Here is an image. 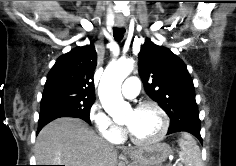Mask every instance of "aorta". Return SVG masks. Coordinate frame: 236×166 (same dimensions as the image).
Here are the masks:
<instances>
[{"mask_svg": "<svg viewBox=\"0 0 236 166\" xmlns=\"http://www.w3.org/2000/svg\"><path fill=\"white\" fill-rule=\"evenodd\" d=\"M134 61L131 59L120 60L109 65L99 84L98 95L104 110L116 118L131 109L124 101L121 94V84L132 72Z\"/></svg>", "mask_w": 236, "mask_h": 166, "instance_id": "obj_1", "label": "aorta"}]
</instances>
